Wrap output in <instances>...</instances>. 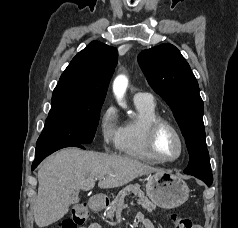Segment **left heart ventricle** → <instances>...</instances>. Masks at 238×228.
I'll list each match as a JSON object with an SVG mask.
<instances>
[{"instance_id":"left-heart-ventricle-1","label":"left heart ventricle","mask_w":238,"mask_h":228,"mask_svg":"<svg viewBox=\"0 0 238 228\" xmlns=\"http://www.w3.org/2000/svg\"><path fill=\"white\" fill-rule=\"evenodd\" d=\"M156 147L164 158H174L179 153V145L168 129H163L158 135Z\"/></svg>"}]
</instances>
